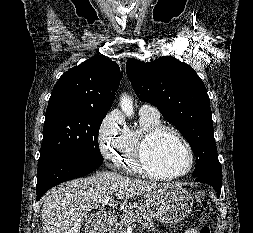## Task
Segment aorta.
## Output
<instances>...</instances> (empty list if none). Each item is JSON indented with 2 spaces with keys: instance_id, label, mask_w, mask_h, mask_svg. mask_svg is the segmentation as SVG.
Here are the masks:
<instances>
[{
  "instance_id": "762f6f07",
  "label": "aorta",
  "mask_w": 253,
  "mask_h": 233,
  "mask_svg": "<svg viewBox=\"0 0 253 233\" xmlns=\"http://www.w3.org/2000/svg\"><path fill=\"white\" fill-rule=\"evenodd\" d=\"M120 107L126 116L132 117L134 115L133 101L127 94L120 97Z\"/></svg>"
}]
</instances>
